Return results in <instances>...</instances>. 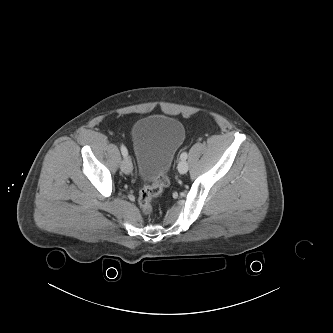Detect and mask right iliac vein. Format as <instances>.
Masks as SVG:
<instances>
[{
  "label": "right iliac vein",
  "mask_w": 333,
  "mask_h": 333,
  "mask_svg": "<svg viewBox=\"0 0 333 333\" xmlns=\"http://www.w3.org/2000/svg\"><path fill=\"white\" fill-rule=\"evenodd\" d=\"M132 162L130 160V158L125 157V159L121 162V170L125 173V174H130L132 172Z\"/></svg>",
  "instance_id": "63e3f726"
}]
</instances>
